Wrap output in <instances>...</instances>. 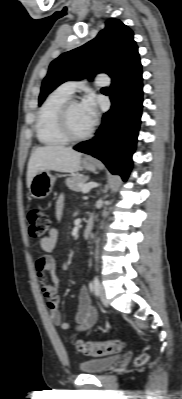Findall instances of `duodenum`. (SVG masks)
Returning a JSON list of instances; mask_svg holds the SVG:
<instances>
[{"instance_id":"duodenum-1","label":"duodenum","mask_w":182,"mask_h":399,"mask_svg":"<svg viewBox=\"0 0 182 399\" xmlns=\"http://www.w3.org/2000/svg\"><path fill=\"white\" fill-rule=\"evenodd\" d=\"M93 224H94V219H93L92 216H89L86 219L84 230H83V237L84 238H88L90 236L92 228H93Z\"/></svg>"}]
</instances>
